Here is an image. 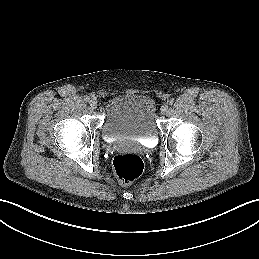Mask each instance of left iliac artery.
<instances>
[{
  "mask_svg": "<svg viewBox=\"0 0 259 259\" xmlns=\"http://www.w3.org/2000/svg\"><path fill=\"white\" fill-rule=\"evenodd\" d=\"M167 103H168L169 105H172V104L174 103V100H173V99H168Z\"/></svg>",
  "mask_w": 259,
  "mask_h": 259,
  "instance_id": "1",
  "label": "left iliac artery"
}]
</instances>
